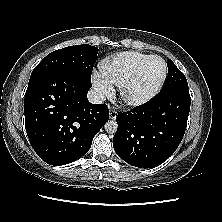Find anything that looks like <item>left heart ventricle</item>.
Listing matches in <instances>:
<instances>
[{"label": "left heart ventricle", "instance_id": "b2bd125f", "mask_svg": "<svg viewBox=\"0 0 222 222\" xmlns=\"http://www.w3.org/2000/svg\"><path fill=\"white\" fill-rule=\"evenodd\" d=\"M164 66L160 59L151 60L145 67L140 79L131 90L133 97H142L150 93L163 76Z\"/></svg>", "mask_w": 222, "mask_h": 222}]
</instances>
